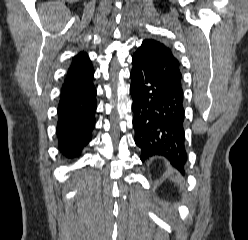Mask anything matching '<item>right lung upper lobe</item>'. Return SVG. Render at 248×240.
<instances>
[{"mask_svg":"<svg viewBox=\"0 0 248 240\" xmlns=\"http://www.w3.org/2000/svg\"><path fill=\"white\" fill-rule=\"evenodd\" d=\"M92 68V64L87 54L80 52L73 57L72 64L66 74V79L72 78L84 72H87Z\"/></svg>","mask_w":248,"mask_h":240,"instance_id":"right-lung-upper-lobe-1","label":"right lung upper lobe"}]
</instances>
